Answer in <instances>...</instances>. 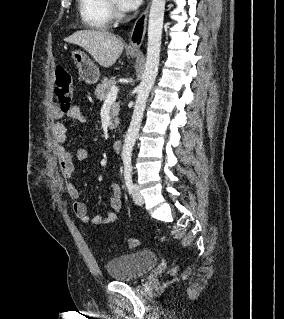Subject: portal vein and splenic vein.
Here are the masks:
<instances>
[{
    "instance_id": "18ae733b",
    "label": "portal vein and splenic vein",
    "mask_w": 284,
    "mask_h": 319,
    "mask_svg": "<svg viewBox=\"0 0 284 319\" xmlns=\"http://www.w3.org/2000/svg\"><path fill=\"white\" fill-rule=\"evenodd\" d=\"M118 87L113 86L111 88L110 93L107 95L105 102L110 103L116 100L117 94H118Z\"/></svg>"
}]
</instances>
